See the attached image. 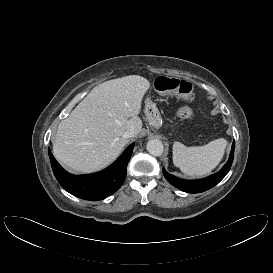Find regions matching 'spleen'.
<instances>
[{
	"label": "spleen",
	"instance_id": "1",
	"mask_svg": "<svg viewBox=\"0 0 273 273\" xmlns=\"http://www.w3.org/2000/svg\"><path fill=\"white\" fill-rule=\"evenodd\" d=\"M226 146L227 141L223 138L195 147H187L180 142H175L173 163L187 175H207L221 162Z\"/></svg>",
	"mask_w": 273,
	"mask_h": 273
}]
</instances>
